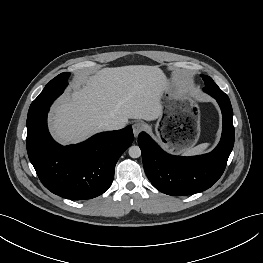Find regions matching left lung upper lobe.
<instances>
[{
	"mask_svg": "<svg viewBox=\"0 0 263 263\" xmlns=\"http://www.w3.org/2000/svg\"><path fill=\"white\" fill-rule=\"evenodd\" d=\"M206 83V87L204 88V91H206L208 94L211 93H218L221 94L223 91L215 84V82L212 80L211 77L201 75Z\"/></svg>",
	"mask_w": 263,
	"mask_h": 263,
	"instance_id": "5c2ea615",
	"label": "left lung upper lobe"
}]
</instances>
